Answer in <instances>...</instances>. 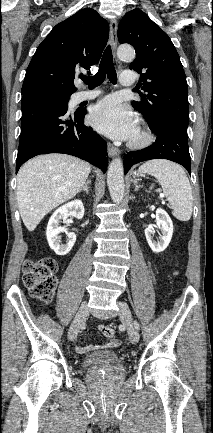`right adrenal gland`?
<instances>
[{"instance_id":"1","label":"right adrenal gland","mask_w":213,"mask_h":433,"mask_svg":"<svg viewBox=\"0 0 213 433\" xmlns=\"http://www.w3.org/2000/svg\"><path fill=\"white\" fill-rule=\"evenodd\" d=\"M90 181L89 180H87V182L84 184V186L82 187V189H80V191L79 192H82V191H85L86 192V194H88L89 193V185H90Z\"/></svg>"}]
</instances>
